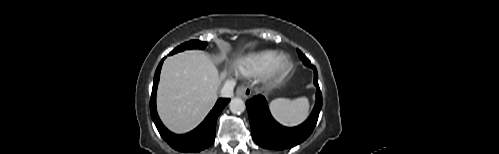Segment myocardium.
Returning a JSON list of instances; mask_svg holds the SVG:
<instances>
[{
    "label": "myocardium",
    "instance_id": "myocardium-1",
    "mask_svg": "<svg viewBox=\"0 0 499 154\" xmlns=\"http://www.w3.org/2000/svg\"><path fill=\"white\" fill-rule=\"evenodd\" d=\"M291 69V59L285 54L277 55L264 73V83L269 87L280 83Z\"/></svg>",
    "mask_w": 499,
    "mask_h": 154
}]
</instances>
